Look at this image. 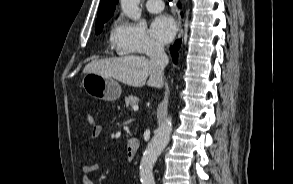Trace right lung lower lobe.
<instances>
[{"label": "right lung lower lobe", "mask_w": 293, "mask_h": 184, "mask_svg": "<svg viewBox=\"0 0 293 184\" xmlns=\"http://www.w3.org/2000/svg\"><path fill=\"white\" fill-rule=\"evenodd\" d=\"M179 46H180V41H177L174 44V46L170 48L171 55H172V58H173L174 63H176L177 62V59H178L177 49L179 48Z\"/></svg>", "instance_id": "1"}]
</instances>
